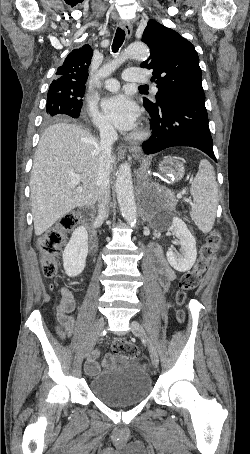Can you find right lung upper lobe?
Segmentation results:
<instances>
[{
    "label": "right lung upper lobe",
    "instance_id": "right-lung-upper-lobe-1",
    "mask_svg": "<svg viewBox=\"0 0 250 454\" xmlns=\"http://www.w3.org/2000/svg\"><path fill=\"white\" fill-rule=\"evenodd\" d=\"M92 56L93 51L88 44L79 49H74L66 57L63 65L58 68L57 78L53 80L49 90L69 93L71 96V93L85 89Z\"/></svg>",
    "mask_w": 250,
    "mask_h": 454
}]
</instances>
